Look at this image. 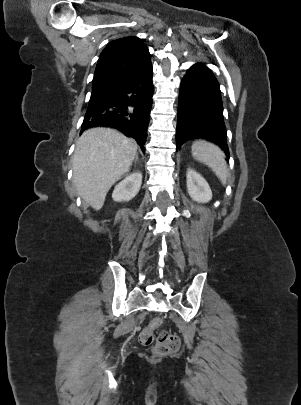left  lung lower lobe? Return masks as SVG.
I'll use <instances>...</instances> for the list:
<instances>
[{
	"label": "left lung lower lobe",
	"instance_id": "1",
	"mask_svg": "<svg viewBox=\"0 0 301 405\" xmlns=\"http://www.w3.org/2000/svg\"><path fill=\"white\" fill-rule=\"evenodd\" d=\"M191 139L212 142L229 158L220 86L212 71L203 63L190 67L180 86L177 149Z\"/></svg>",
	"mask_w": 301,
	"mask_h": 405
}]
</instances>
